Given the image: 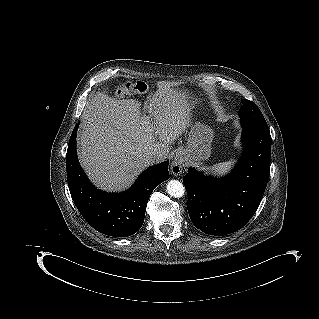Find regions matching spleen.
Masks as SVG:
<instances>
[{
  "label": "spleen",
  "mask_w": 319,
  "mask_h": 319,
  "mask_svg": "<svg viewBox=\"0 0 319 319\" xmlns=\"http://www.w3.org/2000/svg\"><path fill=\"white\" fill-rule=\"evenodd\" d=\"M231 165V162H224L215 164L211 169L215 170L216 172L222 173L225 172Z\"/></svg>",
  "instance_id": "1"
}]
</instances>
